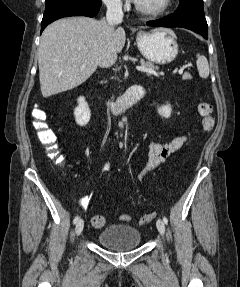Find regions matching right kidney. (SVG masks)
I'll return each mask as SVG.
<instances>
[{
    "label": "right kidney",
    "mask_w": 240,
    "mask_h": 287,
    "mask_svg": "<svg viewBox=\"0 0 240 287\" xmlns=\"http://www.w3.org/2000/svg\"><path fill=\"white\" fill-rule=\"evenodd\" d=\"M74 116L79 126H85L90 121L91 111L84 97L78 98V106L74 109Z\"/></svg>",
    "instance_id": "obj_1"
}]
</instances>
